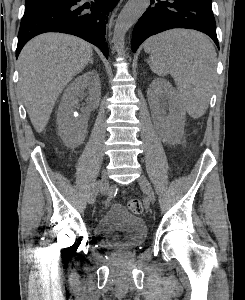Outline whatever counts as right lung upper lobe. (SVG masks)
Returning <instances> with one entry per match:
<instances>
[{"instance_id": "1", "label": "right lung upper lobe", "mask_w": 245, "mask_h": 300, "mask_svg": "<svg viewBox=\"0 0 245 300\" xmlns=\"http://www.w3.org/2000/svg\"><path fill=\"white\" fill-rule=\"evenodd\" d=\"M27 1H35V0H26V2H27Z\"/></svg>"}]
</instances>
